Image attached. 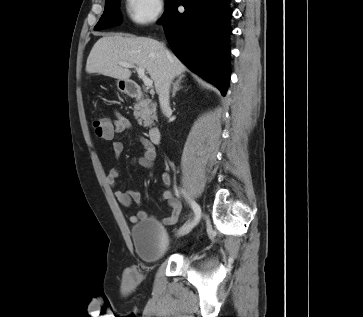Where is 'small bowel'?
<instances>
[{"label":"small bowel","instance_id":"1","mask_svg":"<svg viewBox=\"0 0 363 317\" xmlns=\"http://www.w3.org/2000/svg\"><path fill=\"white\" fill-rule=\"evenodd\" d=\"M110 127L106 131H101L97 133L102 139L110 141L111 147L114 154L118 157L123 152V143L119 140L115 139L117 134L126 132L130 129L131 124L129 119L122 115L117 114L116 118L113 122H109ZM140 142L145 149V153L143 157L138 159V162L144 166L145 168H152L154 165V160L156 156L155 146L154 144L145 137H140ZM119 169L112 168L107 176V182L111 186H115L117 183V179L119 177ZM161 181L164 186V190L162 191L161 198L168 202L169 206V216L164 218L162 221L164 224L171 225L174 224L180 214L181 204L179 200H177L172 190L170 189L171 177L169 173L164 172L161 176ZM115 197L117 201L125 208H129L132 203L140 204L142 202V195L139 191L129 189V190H117L115 192ZM155 219L153 216L140 211L136 215H130L129 220L132 223H136L139 219Z\"/></svg>","mask_w":363,"mask_h":317}]
</instances>
